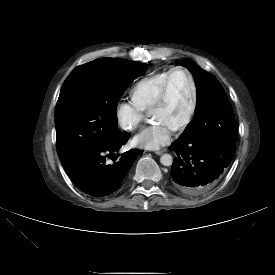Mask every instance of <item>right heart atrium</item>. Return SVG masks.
<instances>
[{
	"instance_id": "right-heart-atrium-1",
	"label": "right heart atrium",
	"mask_w": 275,
	"mask_h": 275,
	"mask_svg": "<svg viewBox=\"0 0 275 275\" xmlns=\"http://www.w3.org/2000/svg\"><path fill=\"white\" fill-rule=\"evenodd\" d=\"M114 115L118 125L123 130L131 132L142 123L144 111L132 101L121 99L116 103Z\"/></svg>"
}]
</instances>
